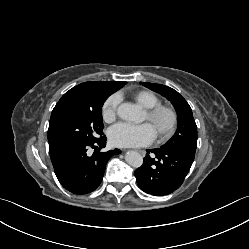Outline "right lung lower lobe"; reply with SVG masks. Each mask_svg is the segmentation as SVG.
Listing matches in <instances>:
<instances>
[{"instance_id":"obj_1","label":"right lung lower lobe","mask_w":249,"mask_h":249,"mask_svg":"<svg viewBox=\"0 0 249 249\" xmlns=\"http://www.w3.org/2000/svg\"><path fill=\"white\" fill-rule=\"evenodd\" d=\"M105 146L106 137L101 136L93 142L69 146L50 156L61 185L77 195L94 191L103 179L107 161L121 153L119 149L100 152ZM90 149H94L91 156Z\"/></svg>"}]
</instances>
